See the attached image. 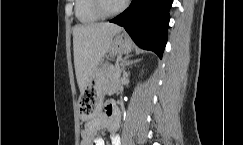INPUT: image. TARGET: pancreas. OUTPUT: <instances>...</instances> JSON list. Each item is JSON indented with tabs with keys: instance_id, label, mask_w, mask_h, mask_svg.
<instances>
[{
	"instance_id": "obj_1",
	"label": "pancreas",
	"mask_w": 243,
	"mask_h": 145,
	"mask_svg": "<svg viewBox=\"0 0 243 145\" xmlns=\"http://www.w3.org/2000/svg\"><path fill=\"white\" fill-rule=\"evenodd\" d=\"M119 71L113 67H108L107 71H106V75L108 77V79L111 82V85L114 89L117 88L118 86V81H119Z\"/></svg>"
}]
</instances>
